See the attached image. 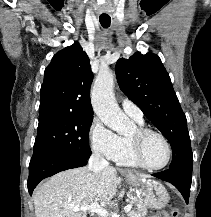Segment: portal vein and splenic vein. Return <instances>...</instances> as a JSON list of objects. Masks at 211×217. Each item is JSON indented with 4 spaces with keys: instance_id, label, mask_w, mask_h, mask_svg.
I'll return each instance as SVG.
<instances>
[{
    "instance_id": "18ae733b",
    "label": "portal vein and splenic vein",
    "mask_w": 211,
    "mask_h": 217,
    "mask_svg": "<svg viewBox=\"0 0 211 217\" xmlns=\"http://www.w3.org/2000/svg\"><path fill=\"white\" fill-rule=\"evenodd\" d=\"M70 208H72L74 211H83V212H93V213H97L102 217H107L109 215V213L102 208L98 203H93L91 205L88 206H82V207H77V206H70ZM132 208V203L127 204L124 207V212L127 213L131 210ZM114 217H118V216H114Z\"/></svg>"
}]
</instances>
